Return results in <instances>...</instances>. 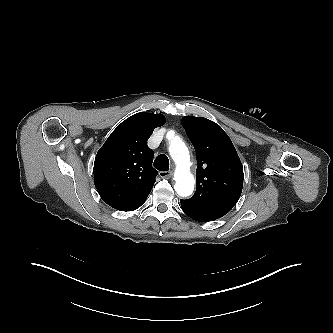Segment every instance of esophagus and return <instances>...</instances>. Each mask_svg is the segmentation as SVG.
<instances>
[{
    "label": "esophagus",
    "instance_id": "esophagus-1",
    "mask_svg": "<svg viewBox=\"0 0 333 333\" xmlns=\"http://www.w3.org/2000/svg\"><path fill=\"white\" fill-rule=\"evenodd\" d=\"M172 175H173L172 171H161V172H159V176L161 178H165V179L170 178Z\"/></svg>",
    "mask_w": 333,
    "mask_h": 333
}]
</instances>
